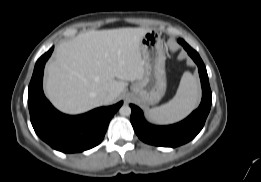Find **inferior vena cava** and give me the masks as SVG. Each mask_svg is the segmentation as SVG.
<instances>
[{"instance_id":"obj_1","label":"inferior vena cava","mask_w":261,"mask_h":182,"mask_svg":"<svg viewBox=\"0 0 261 182\" xmlns=\"http://www.w3.org/2000/svg\"><path fill=\"white\" fill-rule=\"evenodd\" d=\"M106 97H107V98H109V97H110V95L108 94Z\"/></svg>"}]
</instances>
